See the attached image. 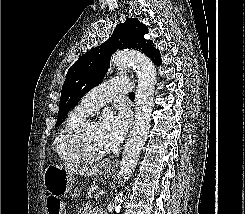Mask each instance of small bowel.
Wrapping results in <instances>:
<instances>
[{
	"label": "small bowel",
	"mask_w": 245,
	"mask_h": 214,
	"mask_svg": "<svg viewBox=\"0 0 245 214\" xmlns=\"http://www.w3.org/2000/svg\"><path fill=\"white\" fill-rule=\"evenodd\" d=\"M79 214H104V213L98 208H93L90 205H85L82 207Z\"/></svg>",
	"instance_id": "c3829d8e"
}]
</instances>
